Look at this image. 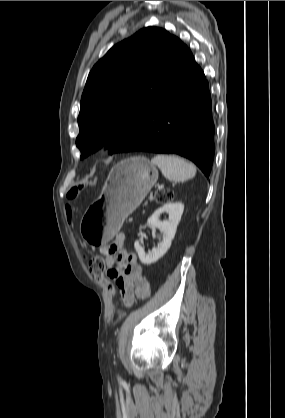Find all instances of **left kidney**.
<instances>
[{"instance_id":"left-kidney-1","label":"left kidney","mask_w":285,"mask_h":418,"mask_svg":"<svg viewBox=\"0 0 285 418\" xmlns=\"http://www.w3.org/2000/svg\"><path fill=\"white\" fill-rule=\"evenodd\" d=\"M184 205L180 202L166 203L158 208L147 220V225L154 226L163 231V240L154 247L151 252L145 253L139 241H135L134 247L138 253L139 259L143 264L149 265L160 259L170 248L175 236L178 223L183 214ZM168 214L167 221H160V215Z\"/></svg>"}]
</instances>
